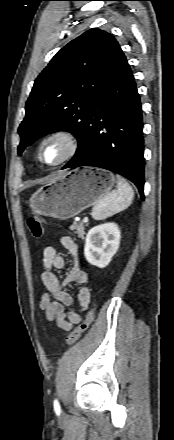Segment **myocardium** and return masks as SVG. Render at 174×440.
I'll use <instances>...</instances> for the list:
<instances>
[{"label": "myocardium", "mask_w": 174, "mask_h": 440, "mask_svg": "<svg viewBox=\"0 0 174 440\" xmlns=\"http://www.w3.org/2000/svg\"><path fill=\"white\" fill-rule=\"evenodd\" d=\"M56 139L64 141L66 145L65 152L59 161L55 163H47L44 161L42 157L44 146L48 142ZM79 148H80V139L78 135L69 129L60 128L50 132L42 139L37 150V158L45 166L58 167L66 163L67 161L71 160L77 154Z\"/></svg>", "instance_id": "1"}]
</instances>
